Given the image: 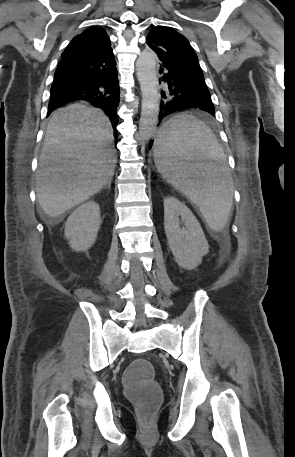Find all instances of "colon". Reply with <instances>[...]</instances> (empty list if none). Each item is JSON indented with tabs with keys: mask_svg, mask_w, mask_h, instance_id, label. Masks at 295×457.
<instances>
[{
	"mask_svg": "<svg viewBox=\"0 0 295 457\" xmlns=\"http://www.w3.org/2000/svg\"><path fill=\"white\" fill-rule=\"evenodd\" d=\"M152 378H155V369L152 363L144 360L129 363L122 377L123 390L136 404L138 415L145 422L152 418L161 398L160 388Z\"/></svg>",
	"mask_w": 295,
	"mask_h": 457,
	"instance_id": "1",
	"label": "colon"
}]
</instances>
